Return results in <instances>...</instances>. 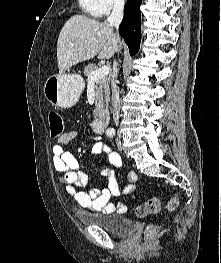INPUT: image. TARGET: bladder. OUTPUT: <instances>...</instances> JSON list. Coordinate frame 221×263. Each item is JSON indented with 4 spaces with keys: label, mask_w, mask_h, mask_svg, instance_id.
I'll return each mask as SVG.
<instances>
[{
    "label": "bladder",
    "mask_w": 221,
    "mask_h": 263,
    "mask_svg": "<svg viewBox=\"0 0 221 263\" xmlns=\"http://www.w3.org/2000/svg\"><path fill=\"white\" fill-rule=\"evenodd\" d=\"M78 220L85 225H94L117 235L125 236L133 232L137 222L119 214H100L94 217L79 215Z\"/></svg>",
    "instance_id": "31cf9c89"
}]
</instances>
